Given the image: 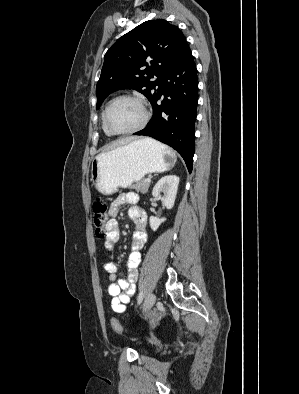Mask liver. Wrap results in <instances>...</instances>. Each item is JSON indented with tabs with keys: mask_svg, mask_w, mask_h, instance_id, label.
<instances>
[{
	"mask_svg": "<svg viewBox=\"0 0 299 394\" xmlns=\"http://www.w3.org/2000/svg\"><path fill=\"white\" fill-rule=\"evenodd\" d=\"M133 140H134V138H126V139H123L119 142H116L113 146L116 147V146H120V145H125L127 143L132 142Z\"/></svg>",
	"mask_w": 299,
	"mask_h": 394,
	"instance_id": "obj_1",
	"label": "liver"
}]
</instances>
